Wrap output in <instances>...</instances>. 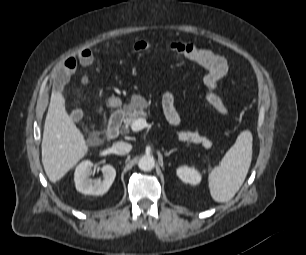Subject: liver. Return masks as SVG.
Here are the masks:
<instances>
[{"instance_id": "liver-1", "label": "liver", "mask_w": 306, "mask_h": 255, "mask_svg": "<svg viewBox=\"0 0 306 255\" xmlns=\"http://www.w3.org/2000/svg\"><path fill=\"white\" fill-rule=\"evenodd\" d=\"M87 151L83 134L66 112L64 97L53 91L42 139V164L49 180H60Z\"/></svg>"}]
</instances>
